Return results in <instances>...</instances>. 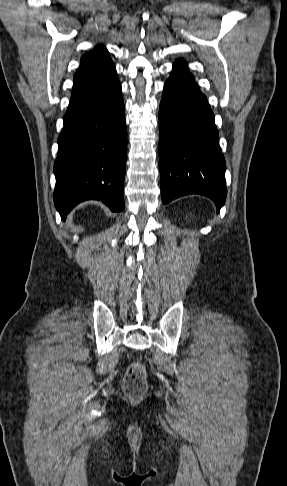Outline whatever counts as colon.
Returning a JSON list of instances; mask_svg holds the SVG:
<instances>
[{
  "label": "colon",
  "mask_w": 287,
  "mask_h": 486,
  "mask_svg": "<svg viewBox=\"0 0 287 486\" xmlns=\"http://www.w3.org/2000/svg\"><path fill=\"white\" fill-rule=\"evenodd\" d=\"M147 380L145 368L140 363H133L128 368L123 380L124 391L133 398L140 397L146 390Z\"/></svg>",
  "instance_id": "5ec220e1"
}]
</instances>
